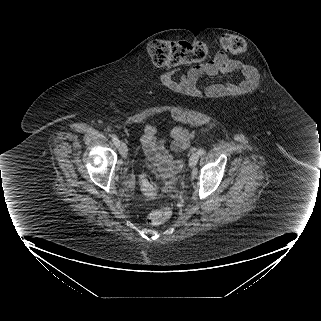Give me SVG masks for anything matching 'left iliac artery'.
<instances>
[{
    "label": "left iliac artery",
    "instance_id": "1",
    "mask_svg": "<svg viewBox=\"0 0 321 321\" xmlns=\"http://www.w3.org/2000/svg\"><path fill=\"white\" fill-rule=\"evenodd\" d=\"M198 155H203L205 153V150L203 148L199 149L197 151Z\"/></svg>",
    "mask_w": 321,
    "mask_h": 321
}]
</instances>
